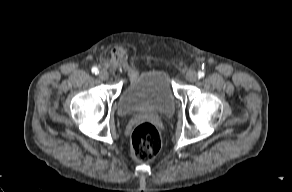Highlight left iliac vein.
Wrapping results in <instances>:
<instances>
[{"mask_svg": "<svg viewBox=\"0 0 292 192\" xmlns=\"http://www.w3.org/2000/svg\"><path fill=\"white\" fill-rule=\"evenodd\" d=\"M186 78L189 82H195L197 80V73L193 70H189L186 74Z\"/></svg>", "mask_w": 292, "mask_h": 192, "instance_id": "1", "label": "left iliac vein"}]
</instances>
